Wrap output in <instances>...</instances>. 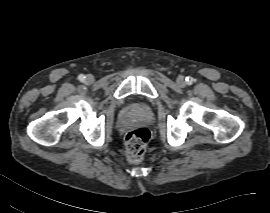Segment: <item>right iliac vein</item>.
Wrapping results in <instances>:
<instances>
[{"label":"right iliac vein","mask_w":270,"mask_h":213,"mask_svg":"<svg viewBox=\"0 0 270 213\" xmlns=\"http://www.w3.org/2000/svg\"><path fill=\"white\" fill-rule=\"evenodd\" d=\"M86 81L88 82V83H93V81H94V77L92 76V75H87L86 76Z\"/></svg>","instance_id":"1"}]
</instances>
